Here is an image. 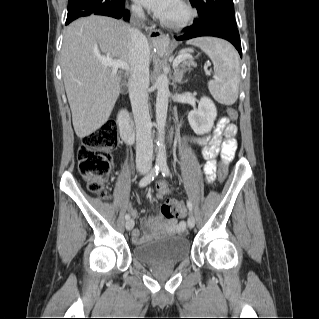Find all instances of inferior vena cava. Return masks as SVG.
<instances>
[{
  "mask_svg": "<svg viewBox=\"0 0 319 319\" xmlns=\"http://www.w3.org/2000/svg\"><path fill=\"white\" fill-rule=\"evenodd\" d=\"M132 11L137 17H144L140 5H133ZM129 50V97L136 124V167L138 170H150L153 156L152 123L147 93L150 50L146 37L137 29L129 30Z\"/></svg>",
  "mask_w": 319,
  "mask_h": 319,
  "instance_id": "obj_1",
  "label": "inferior vena cava"
}]
</instances>
